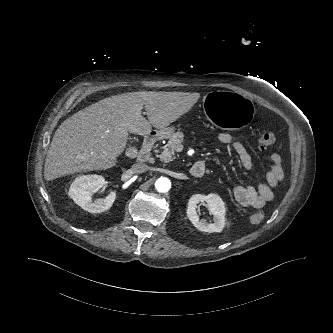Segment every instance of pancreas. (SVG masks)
<instances>
[{
  "mask_svg": "<svg viewBox=\"0 0 333 333\" xmlns=\"http://www.w3.org/2000/svg\"><path fill=\"white\" fill-rule=\"evenodd\" d=\"M183 137L184 134L182 132H176L171 135L168 143L166 144L163 152L160 155L161 160L167 163L173 159L172 156L182 145Z\"/></svg>",
  "mask_w": 333,
  "mask_h": 333,
  "instance_id": "cf45deb5",
  "label": "pancreas"
}]
</instances>
